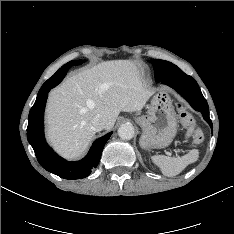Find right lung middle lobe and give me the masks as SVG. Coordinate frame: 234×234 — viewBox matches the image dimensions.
Listing matches in <instances>:
<instances>
[{
	"label": "right lung middle lobe",
	"instance_id": "1",
	"mask_svg": "<svg viewBox=\"0 0 234 234\" xmlns=\"http://www.w3.org/2000/svg\"><path fill=\"white\" fill-rule=\"evenodd\" d=\"M82 63H83V60H72V61L68 62L66 65L73 66V65H80Z\"/></svg>",
	"mask_w": 234,
	"mask_h": 234
}]
</instances>
